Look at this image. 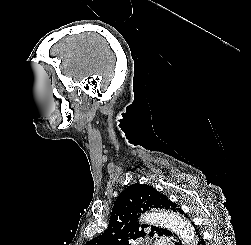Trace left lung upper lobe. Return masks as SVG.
<instances>
[{"mask_svg":"<svg viewBox=\"0 0 251 245\" xmlns=\"http://www.w3.org/2000/svg\"><path fill=\"white\" fill-rule=\"evenodd\" d=\"M149 208H164L179 212L181 209L165 195L146 184L128 186L116 199L107 230L90 240L86 245H130L131 240L144 237V228L138 217ZM171 231L151 227L150 237L154 234L167 236Z\"/></svg>","mask_w":251,"mask_h":245,"instance_id":"obj_1","label":"left lung upper lobe"}]
</instances>
